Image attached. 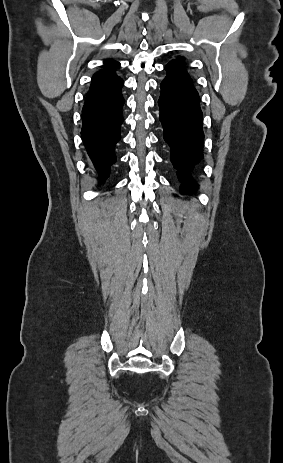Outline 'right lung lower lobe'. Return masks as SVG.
Returning <instances> with one entry per match:
<instances>
[{
  "label": "right lung lower lobe",
  "mask_w": 283,
  "mask_h": 463,
  "mask_svg": "<svg viewBox=\"0 0 283 463\" xmlns=\"http://www.w3.org/2000/svg\"><path fill=\"white\" fill-rule=\"evenodd\" d=\"M122 86L123 80L116 76L90 87L82 110V140L102 179L116 161L114 146L121 138Z\"/></svg>",
  "instance_id": "right-lung-lower-lobe-1"
}]
</instances>
